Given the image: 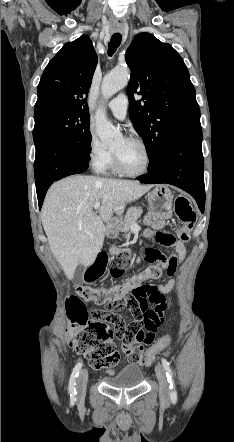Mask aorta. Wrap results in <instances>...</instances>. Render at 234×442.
<instances>
[{"label": "aorta", "mask_w": 234, "mask_h": 442, "mask_svg": "<svg viewBox=\"0 0 234 442\" xmlns=\"http://www.w3.org/2000/svg\"><path fill=\"white\" fill-rule=\"evenodd\" d=\"M130 72L128 68H116L108 73L102 81L101 91L105 100L123 89L129 82ZM96 131L100 140L105 144H111L114 139L120 137V133L108 121L103 110L96 115Z\"/></svg>", "instance_id": "aorta-1"}]
</instances>
